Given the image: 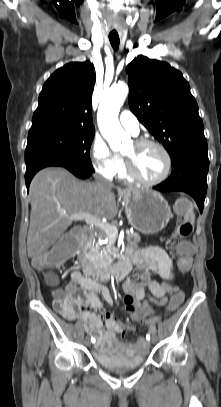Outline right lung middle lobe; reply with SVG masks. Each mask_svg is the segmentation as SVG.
Returning <instances> with one entry per match:
<instances>
[{"instance_id": "right-lung-middle-lobe-1", "label": "right lung middle lobe", "mask_w": 221, "mask_h": 407, "mask_svg": "<svg viewBox=\"0 0 221 407\" xmlns=\"http://www.w3.org/2000/svg\"><path fill=\"white\" fill-rule=\"evenodd\" d=\"M94 134L95 131L63 126L30 129L25 163L28 165L40 157L54 156L93 172L89 152Z\"/></svg>"}]
</instances>
